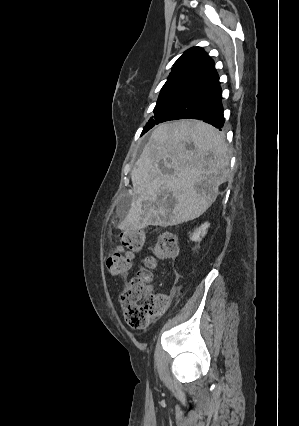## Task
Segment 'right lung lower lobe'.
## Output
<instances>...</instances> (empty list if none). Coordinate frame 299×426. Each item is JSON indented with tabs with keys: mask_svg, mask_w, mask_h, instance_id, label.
Segmentation results:
<instances>
[{
	"mask_svg": "<svg viewBox=\"0 0 299 426\" xmlns=\"http://www.w3.org/2000/svg\"><path fill=\"white\" fill-rule=\"evenodd\" d=\"M187 118L203 120L219 129L223 127L222 91L219 79L190 91L175 102L156 124Z\"/></svg>",
	"mask_w": 299,
	"mask_h": 426,
	"instance_id": "98d812e1",
	"label": "right lung lower lobe"
}]
</instances>
